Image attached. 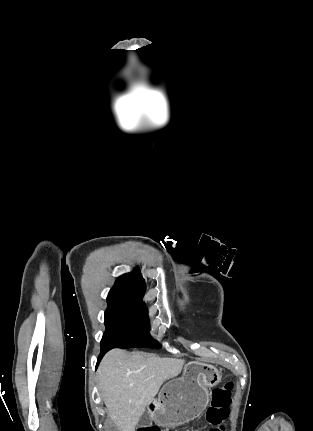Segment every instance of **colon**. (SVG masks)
<instances>
[{"mask_svg": "<svg viewBox=\"0 0 313 431\" xmlns=\"http://www.w3.org/2000/svg\"><path fill=\"white\" fill-rule=\"evenodd\" d=\"M233 389V383L229 382L221 388L212 390L210 406L206 413V419L212 425L208 431L225 430L223 423L228 418L230 413V403ZM138 431H160V429L156 426H149L140 428Z\"/></svg>", "mask_w": 313, "mask_h": 431, "instance_id": "1", "label": "colon"}]
</instances>
